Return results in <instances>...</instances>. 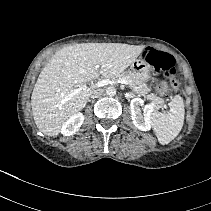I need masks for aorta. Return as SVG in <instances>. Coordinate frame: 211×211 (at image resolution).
I'll return each instance as SVG.
<instances>
[{"label":"aorta","instance_id":"obj_1","mask_svg":"<svg viewBox=\"0 0 211 211\" xmlns=\"http://www.w3.org/2000/svg\"><path fill=\"white\" fill-rule=\"evenodd\" d=\"M106 94L108 95V96H115L116 95V89L114 88V87H108L107 89H106Z\"/></svg>","mask_w":211,"mask_h":211}]
</instances>
